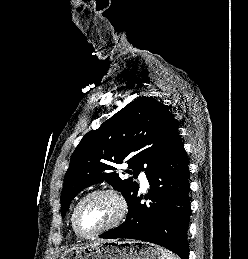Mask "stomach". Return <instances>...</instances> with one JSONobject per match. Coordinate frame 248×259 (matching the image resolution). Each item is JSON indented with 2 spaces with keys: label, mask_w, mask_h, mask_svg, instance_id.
I'll use <instances>...</instances> for the list:
<instances>
[{
  "label": "stomach",
  "mask_w": 248,
  "mask_h": 259,
  "mask_svg": "<svg viewBox=\"0 0 248 259\" xmlns=\"http://www.w3.org/2000/svg\"><path fill=\"white\" fill-rule=\"evenodd\" d=\"M60 259H161V248L142 242H99L65 251Z\"/></svg>",
  "instance_id": "stomach-1"
}]
</instances>
